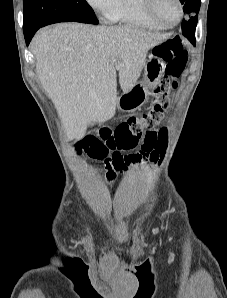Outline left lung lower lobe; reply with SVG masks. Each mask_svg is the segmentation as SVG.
<instances>
[{"instance_id": "left-lung-lower-lobe-1", "label": "left lung lower lobe", "mask_w": 227, "mask_h": 298, "mask_svg": "<svg viewBox=\"0 0 227 298\" xmlns=\"http://www.w3.org/2000/svg\"><path fill=\"white\" fill-rule=\"evenodd\" d=\"M191 43H192L193 45H195V41H192Z\"/></svg>"}]
</instances>
